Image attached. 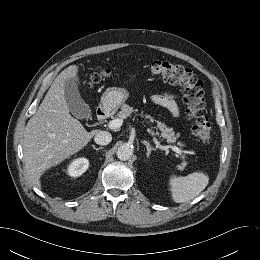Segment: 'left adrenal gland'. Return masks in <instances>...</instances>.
Masks as SVG:
<instances>
[{
	"label": "left adrenal gland",
	"instance_id": "1",
	"mask_svg": "<svg viewBox=\"0 0 260 260\" xmlns=\"http://www.w3.org/2000/svg\"><path fill=\"white\" fill-rule=\"evenodd\" d=\"M142 143L146 146V149H147V153H146V155H147V157H149L150 154H151V151H155L156 149L153 148V147L150 145V143L147 142V141H145V140L142 141Z\"/></svg>",
	"mask_w": 260,
	"mask_h": 260
}]
</instances>
